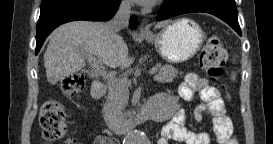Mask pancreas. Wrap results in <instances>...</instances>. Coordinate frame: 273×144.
Wrapping results in <instances>:
<instances>
[{"label": "pancreas", "instance_id": "obj_1", "mask_svg": "<svg viewBox=\"0 0 273 144\" xmlns=\"http://www.w3.org/2000/svg\"><path fill=\"white\" fill-rule=\"evenodd\" d=\"M155 68L158 70L154 78L157 82L169 83L177 77L178 70L172 65L158 63ZM127 82L129 87L131 82ZM108 88V96L102 111L105 123L109 129L113 130L123 125L127 120V116L130 115V112L124 113L128 90L118 85L109 86Z\"/></svg>", "mask_w": 273, "mask_h": 144}]
</instances>
